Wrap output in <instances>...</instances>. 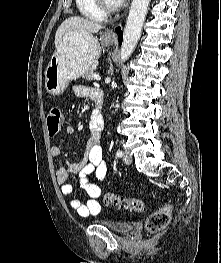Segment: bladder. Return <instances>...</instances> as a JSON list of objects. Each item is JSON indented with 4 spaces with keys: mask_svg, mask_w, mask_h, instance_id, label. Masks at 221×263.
Instances as JSON below:
<instances>
[{
    "mask_svg": "<svg viewBox=\"0 0 221 263\" xmlns=\"http://www.w3.org/2000/svg\"><path fill=\"white\" fill-rule=\"evenodd\" d=\"M96 221L99 225L105 226L106 228L118 233H127L133 227V224L126 220H96Z\"/></svg>",
    "mask_w": 221,
    "mask_h": 263,
    "instance_id": "31cf9c89",
    "label": "bladder"
}]
</instances>
